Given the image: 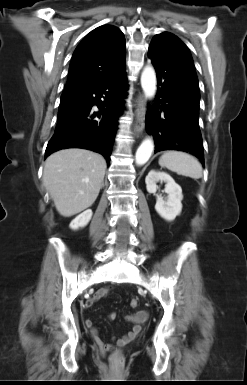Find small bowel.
Listing matches in <instances>:
<instances>
[{
    "mask_svg": "<svg viewBox=\"0 0 247 385\" xmlns=\"http://www.w3.org/2000/svg\"><path fill=\"white\" fill-rule=\"evenodd\" d=\"M110 294L109 289H102L98 293H96L93 297L86 300L84 306L90 307L93 304L97 303L101 298L106 297ZM147 312L146 311H139L136 313L128 314L126 316V319L128 322L131 323V329L130 331L120 338L117 341L118 345H125L130 340L134 339L141 331L142 324L145 322L147 318ZM117 318V313L112 311L108 314V319L113 321ZM84 325L89 329L91 335L93 336L94 340L97 342L98 345H100L104 349H109L110 344L106 343L99 335L98 330L96 327H94L93 322L90 319H86L84 321Z\"/></svg>",
    "mask_w": 247,
    "mask_h": 385,
    "instance_id": "small-bowel-1",
    "label": "small bowel"
}]
</instances>
